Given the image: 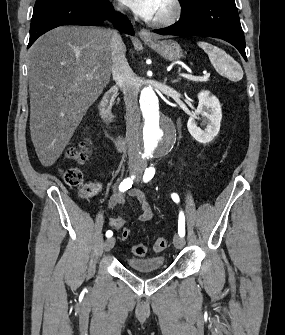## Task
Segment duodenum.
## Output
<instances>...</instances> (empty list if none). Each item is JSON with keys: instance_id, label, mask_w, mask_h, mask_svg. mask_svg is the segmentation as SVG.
<instances>
[{"instance_id": "410a0bca", "label": "duodenum", "mask_w": 285, "mask_h": 335, "mask_svg": "<svg viewBox=\"0 0 285 335\" xmlns=\"http://www.w3.org/2000/svg\"><path fill=\"white\" fill-rule=\"evenodd\" d=\"M116 94H117L116 86L110 88L105 93L98 107V115L103 128L106 130L108 136L110 137L114 145L119 150H122L124 149L125 146V140L116 131L115 120L112 114V105L116 97Z\"/></svg>"}]
</instances>
